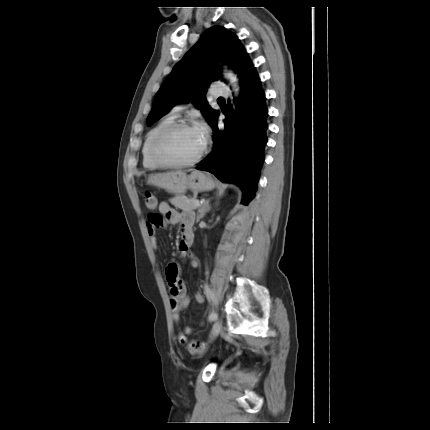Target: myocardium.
I'll return each instance as SVG.
<instances>
[{"label": "myocardium", "instance_id": "f54148a6", "mask_svg": "<svg viewBox=\"0 0 430 430\" xmlns=\"http://www.w3.org/2000/svg\"><path fill=\"white\" fill-rule=\"evenodd\" d=\"M187 128H194V126L187 122V121H174L173 123L169 124L165 128H163L159 133L156 134V136L153 138L149 152L151 158L159 164L161 167H170V168H180V167H188L195 165L198 163L206 154L207 152V145L205 144L201 152L195 156L194 158L186 161H174L170 160L168 158H165L161 152L160 147L161 145L176 131L180 129H187Z\"/></svg>", "mask_w": 430, "mask_h": 430}]
</instances>
